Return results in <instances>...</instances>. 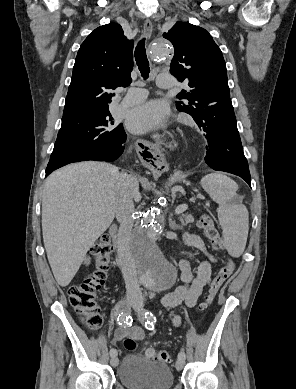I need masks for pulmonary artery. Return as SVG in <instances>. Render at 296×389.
<instances>
[{
    "mask_svg": "<svg viewBox=\"0 0 296 389\" xmlns=\"http://www.w3.org/2000/svg\"><path fill=\"white\" fill-rule=\"evenodd\" d=\"M157 84L160 88L168 89L174 86L173 78L169 75L161 74L157 78ZM147 97V91L142 88H130L122 100L123 106H133L141 103Z\"/></svg>",
    "mask_w": 296,
    "mask_h": 389,
    "instance_id": "obj_1",
    "label": "pulmonary artery"
}]
</instances>
